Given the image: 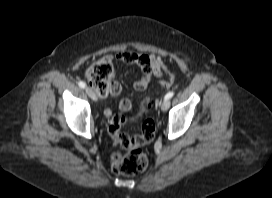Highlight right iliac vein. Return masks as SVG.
Here are the masks:
<instances>
[{"mask_svg":"<svg viewBox=\"0 0 272 198\" xmlns=\"http://www.w3.org/2000/svg\"><path fill=\"white\" fill-rule=\"evenodd\" d=\"M85 91L92 100H97V96H96L95 92L91 88L87 87L85 89Z\"/></svg>","mask_w":272,"mask_h":198,"instance_id":"63e3f726","label":"right iliac vein"}]
</instances>
